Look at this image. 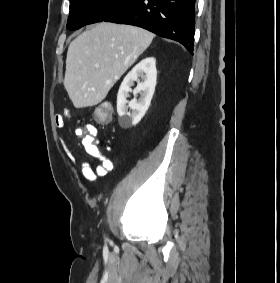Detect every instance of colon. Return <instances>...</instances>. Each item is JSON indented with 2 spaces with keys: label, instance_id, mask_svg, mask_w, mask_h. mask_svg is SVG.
<instances>
[{
  "label": "colon",
  "instance_id": "5ec220e1",
  "mask_svg": "<svg viewBox=\"0 0 280 283\" xmlns=\"http://www.w3.org/2000/svg\"><path fill=\"white\" fill-rule=\"evenodd\" d=\"M95 119L97 120L98 124H110L111 120H113L112 111L110 110V106L107 104H101L99 107L96 108V116ZM97 132V127H84L83 129L79 130L81 132Z\"/></svg>",
  "mask_w": 280,
  "mask_h": 283
}]
</instances>
